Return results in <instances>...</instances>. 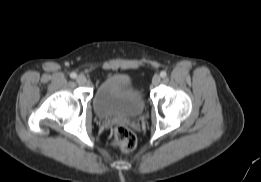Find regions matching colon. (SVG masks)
<instances>
[{
    "label": "colon",
    "mask_w": 261,
    "mask_h": 182,
    "mask_svg": "<svg viewBox=\"0 0 261 182\" xmlns=\"http://www.w3.org/2000/svg\"><path fill=\"white\" fill-rule=\"evenodd\" d=\"M137 144L135 134L126 126L118 125L113 130V146L121 151H132Z\"/></svg>",
    "instance_id": "5ec220e1"
}]
</instances>
